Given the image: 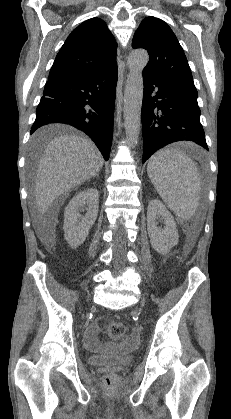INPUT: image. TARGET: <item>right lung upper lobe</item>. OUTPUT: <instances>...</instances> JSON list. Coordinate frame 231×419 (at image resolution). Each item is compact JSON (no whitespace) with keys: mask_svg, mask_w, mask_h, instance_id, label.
Segmentation results:
<instances>
[{"mask_svg":"<svg viewBox=\"0 0 231 419\" xmlns=\"http://www.w3.org/2000/svg\"><path fill=\"white\" fill-rule=\"evenodd\" d=\"M116 41L106 23L89 19L74 29L58 52L49 72L48 81L87 77L115 67Z\"/></svg>","mask_w":231,"mask_h":419,"instance_id":"1","label":"right lung upper lobe"}]
</instances>
